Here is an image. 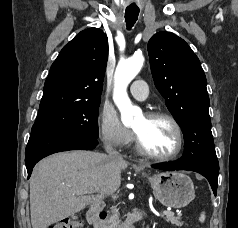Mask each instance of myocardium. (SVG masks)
<instances>
[{
  "instance_id": "obj_1",
  "label": "myocardium",
  "mask_w": 238,
  "mask_h": 228,
  "mask_svg": "<svg viewBox=\"0 0 238 228\" xmlns=\"http://www.w3.org/2000/svg\"><path fill=\"white\" fill-rule=\"evenodd\" d=\"M147 118L150 119H165L171 123L173 126L175 133H176V147L175 149L168 155H155L147 151L142 144L138 134L134 131V140H135V147L138 153L148 159L155 160V161H170L172 159H175L182 151L183 149V144H184V137H183V131L178 123V121L169 113L164 112V111H149L145 114Z\"/></svg>"
}]
</instances>
